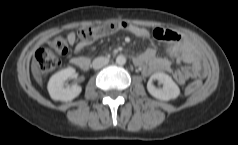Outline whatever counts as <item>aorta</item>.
Segmentation results:
<instances>
[{
  "instance_id": "762f6f07",
  "label": "aorta",
  "mask_w": 238,
  "mask_h": 145,
  "mask_svg": "<svg viewBox=\"0 0 238 145\" xmlns=\"http://www.w3.org/2000/svg\"><path fill=\"white\" fill-rule=\"evenodd\" d=\"M116 63L118 65H124L126 63V58L123 55H118L116 58Z\"/></svg>"
}]
</instances>
